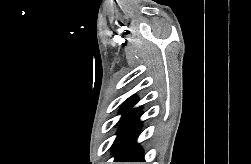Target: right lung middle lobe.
Listing matches in <instances>:
<instances>
[{"label":"right lung middle lobe","mask_w":251,"mask_h":164,"mask_svg":"<svg viewBox=\"0 0 251 164\" xmlns=\"http://www.w3.org/2000/svg\"><path fill=\"white\" fill-rule=\"evenodd\" d=\"M137 98L136 97H131L129 98L125 103L124 105L122 106L121 110H120V113L121 114H124L126 113L134 104L137 103Z\"/></svg>","instance_id":"right-lung-middle-lobe-1"}]
</instances>
